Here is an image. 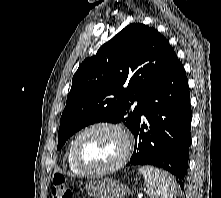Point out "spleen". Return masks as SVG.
I'll use <instances>...</instances> for the list:
<instances>
[{
	"mask_svg": "<svg viewBox=\"0 0 221 198\" xmlns=\"http://www.w3.org/2000/svg\"><path fill=\"white\" fill-rule=\"evenodd\" d=\"M138 172L143 175L149 198H176V184L168 173L152 166H142Z\"/></svg>",
	"mask_w": 221,
	"mask_h": 198,
	"instance_id": "spleen-1",
	"label": "spleen"
}]
</instances>
